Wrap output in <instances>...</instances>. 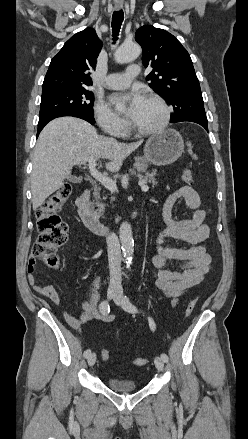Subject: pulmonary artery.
<instances>
[{
	"instance_id": "1",
	"label": "pulmonary artery",
	"mask_w": 248,
	"mask_h": 439,
	"mask_svg": "<svg viewBox=\"0 0 248 439\" xmlns=\"http://www.w3.org/2000/svg\"><path fill=\"white\" fill-rule=\"evenodd\" d=\"M139 74V66L133 64L129 66L125 73H112L105 77L104 86L109 89H122L127 87L131 80Z\"/></svg>"
}]
</instances>
